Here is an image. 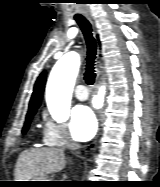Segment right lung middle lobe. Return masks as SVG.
<instances>
[{
	"label": "right lung middle lobe",
	"instance_id": "1",
	"mask_svg": "<svg viewBox=\"0 0 160 187\" xmlns=\"http://www.w3.org/2000/svg\"><path fill=\"white\" fill-rule=\"evenodd\" d=\"M35 113H36V110H32L28 112L26 116V122L24 124L23 131H22L23 133H26V131L28 130L31 119L33 118Z\"/></svg>",
	"mask_w": 160,
	"mask_h": 187
}]
</instances>
